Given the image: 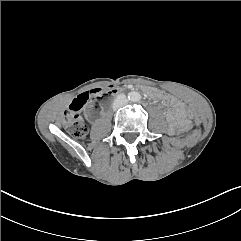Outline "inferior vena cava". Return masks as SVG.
I'll return each mask as SVG.
<instances>
[{
  "instance_id": "inferior-vena-cava-1",
  "label": "inferior vena cava",
  "mask_w": 241,
  "mask_h": 241,
  "mask_svg": "<svg viewBox=\"0 0 241 241\" xmlns=\"http://www.w3.org/2000/svg\"><path fill=\"white\" fill-rule=\"evenodd\" d=\"M128 100L126 98L125 95L120 94L116 97V99L113 102V109H117L119 107L124 106L125 104H127Z\"/></svg>"
}]
</instances>
